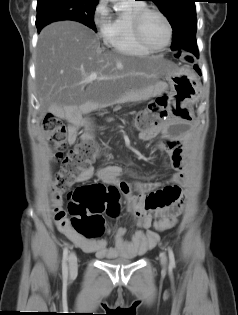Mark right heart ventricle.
Wrapping results in <instances>:
<instances>
[{
	"label": "right heart ventricle",
	"mask_w": 238,
	"mask_h": 315,
	"mask_svg": "<svg viewBox=\"0 0 238 315\" xmlns=\"http://www.w3.org/2000/svg\"><path fill=\"white\" fill-rule=\"evenodd\" d=\"M144 7L143 3L129 0L128 8L117 12L109 20L102 32V38L107 47L123 55L146 56L151 54V51L137 42L132 28L133 16Z\"/></svg>",
	"instance_id": "obj_1"
}]
</instances>
